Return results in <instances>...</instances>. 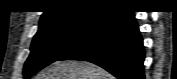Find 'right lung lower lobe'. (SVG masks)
<instances>
[{"label": "right lung lower lobe", "mask_w": 177, "mask_h": 79, "mask_svg": "<svg viewBox=\"0 0 177 79\" xmlns=\"http://www.w3.org/2000/svg\"><path fill=\"white\" fill-rule=\"evenodd\" d=\"M145 52L134 12L114 9L60 60H83L106 69L118 79H144Z\"/></svg>", "instance_id": "98d812e1"}]
</instances>
